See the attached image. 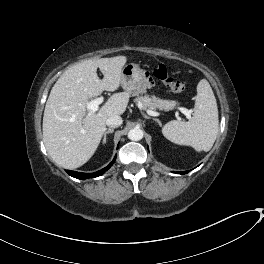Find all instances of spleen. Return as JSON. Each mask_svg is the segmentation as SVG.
I'll use <instances>...</instances> for the list:
<instances>
[{
    "label": "spleen",
    "mask_w": 264,
    "mask_h": 264,
    "mask_svg": "<svg viewBox=\"0 0 264 264\" xmlns=\"http://www.w3.org/2000/svg\"><path fill=\"white\" fill-rule=\"evenodd\" d=\"M218 108L209 82L201 79L193 117L187 121L172 120L162 128V134L178 145L192 146L197 151H209L218 135Z\"/></svg>",
    "instance_id": "spleen-1"
}]
</instances>
